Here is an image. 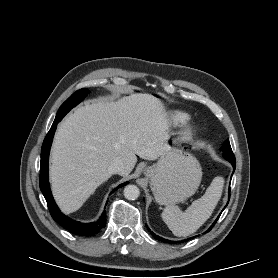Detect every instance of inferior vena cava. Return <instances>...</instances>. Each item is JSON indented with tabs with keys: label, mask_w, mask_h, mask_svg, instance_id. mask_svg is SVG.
Here are the masks:
<instances>
[{
	"label": "inferior vena cava",
	"mask_w": 278,
	"mask_h": 278,
	"mask_svg": "<svg viewBox=\"0 0 278 278\" xmlns=\"http://www.w3.org/2000/svg\"><path fill=\"white\" fill-rule=\"evenodd\" d=\"M124 169V163L121 159H115L108 167L111 174H119Z\"/></svg>",
	"instance_id": "602c4592"
}]
</instances>
